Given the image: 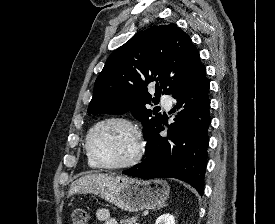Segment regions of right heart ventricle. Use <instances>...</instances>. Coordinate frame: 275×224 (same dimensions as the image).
Instances as JSON below:
<instances>
[{
	"mask_svg": "<svg viewBox=\"0 0 275 224\" xmlns=\"http://www.w3.org/2000/svg\"><path fill=\"white\" fill-rule=\"evenodd\" d=\"M86 159H87V164H88L89 167H91V168H97L98 167L96 165V163L91 159L89 154L87 153V150H86Z\"/></svg>",
	"mask_w": 275,
	"mask_h": 224,
	"instance_id": "right-heart-ventricle-1",
	"label": "right heart ventricle"
}]
</instances>
